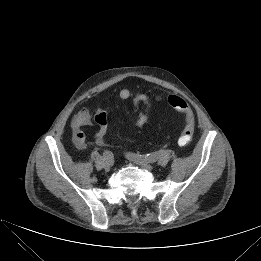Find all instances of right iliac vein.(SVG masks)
I'll use <instances>...</instances> for the list:
<instances>
[{"mask_svg": "<svg viewBox=\"0 0 261 261\" xmlns=\"http://www.w3.org/2000/svg\"><path fill=\"white\" fill-rule=\"evenodd\" d=\"M103 167L106 171H109L112 167V164L109 161H105L104 164H103Z\"/></svg>", "mask_w": 261, "mask_h": 261, "instance_id": "right-iliac-vein-1", "label": "right iliac vein"}]
</instances>
